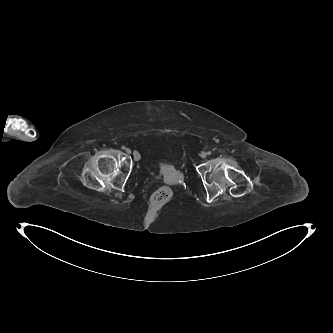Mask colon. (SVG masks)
<instances>
[{
    "label": "colon",
    "instance_id": "obj_1",
    "mask_svg": "<svg viewBox=\"0 0 333 333\" xmlns=\"http://www.w3.org/2000/svg\"><path fill=\"white\" fill-rule=\"evenodd\" d=\"M173 197L171 188L167 186L160 187L156 190L150 199V204L153 208L160 209L165 206Z\"/></svg>",
    "mask_w": 333,
    "mask_h": 333
}]
</instances>
